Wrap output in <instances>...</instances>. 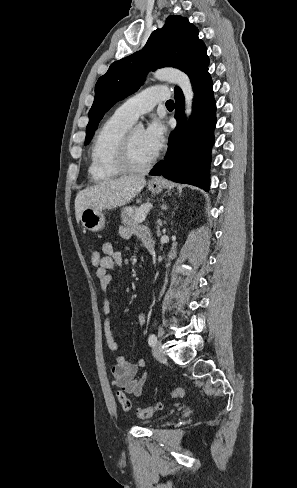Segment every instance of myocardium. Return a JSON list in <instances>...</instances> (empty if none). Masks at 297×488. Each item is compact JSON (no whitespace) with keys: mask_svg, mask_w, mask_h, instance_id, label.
Masks as SVG:
<instances>
[{"mask_svg":"<svg viewBox=\"0 0 297 488\" xmlns=\"http://www.w3.org/2000/svg\"><path fill=\"white\" fill-rule=\"evenodd\" d=\"M130 142H131V132H126L121 139L117 156L116 164L117 167L123 172L128 174L144 173L149 171L156 162V157H153L147 164L143 166H135L131 162L130 158Z\"/></svg>","mask_w":297,"mask_h":488,"instance_id":"obj_1","label":"myocardium"}]
</instances>
